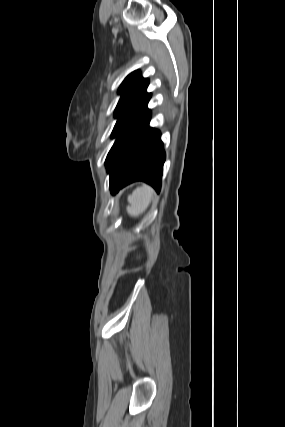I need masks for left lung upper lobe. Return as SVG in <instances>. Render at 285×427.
<instances>
[{"mask_svg":"<svg viewBox=\"0 0 285 427\" xmlns=\"http://www.w3.org/2000/svg\"><path fill=\"white\" fill-rule=\"evenodd\" d=\"M148 84L149 80L143 78L139 70L129 74L122 82L118 90L121 97L114 113L117 118L112 132V137H117L115 143L147 110V103L151 97V94L146 92Z\"/></svg>","mask_w":285,"mask_h":427,"instance_id":"1","label":"left lung upper lobe"}]
</instances>
